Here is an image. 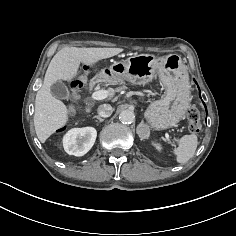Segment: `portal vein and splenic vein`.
Here are the masks:
<instances>
[{
  "label": "portal vein and splenic vein",
  "mask_w": 236,
  "mask_h": 236,
  "mask_svg": "<svg viewBox=\"0 0 236 236\" xmlns=\"http://www.w3.org/2000/svg\"><path fill=\"white\" fill-rule=\"evenodd\" d=\"M107 97H108V91H106V90L95 91L91 95V98L93 100H103ZM166 138H167V140H170L168 134H166Z\"/></svg>",
  "instance_id": "18ae733b"
}]
</instances>
